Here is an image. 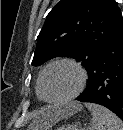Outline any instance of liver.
<instances>
[{"label": "liver", "instance_id": "obj_1", "mask_svg": "<svg viewBox=\"0 0 123 130\" xmlns=\"http://www.w3.org/2000/svg\"><path fill=\"white\" fill-rule=\"evenodd\" d=\"M82 109L76 103H70L64 107L48 106L40 110L30 125V130H49L58 121L71 116Z\"/></svg>", "mask_w": 123, "mask_h": 130}]
</instances>
